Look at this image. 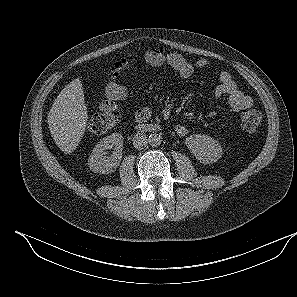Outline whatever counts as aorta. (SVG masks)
<instances>
[{
	"instance_id": "aorta-1",
	"label": "aorta",
	"mask_w": 297,
	"mask_h": 297,
	"mask_svg": "<svg viewBox=\"0 0 297 297\" xmlns=\"http://www.w3.org/2000/svg\"><path fill=\"white\" fill-rule=\"evenodd\" d=\"M162 142V137L160 134L157 133H152L149 135L148 137V143L152 146V147H157L161 144Z\"/></svg>"
}]
</instances>
